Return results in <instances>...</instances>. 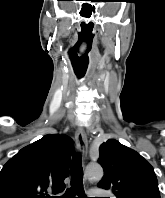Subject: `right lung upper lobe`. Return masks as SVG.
Wrapping results in <instances>:
<instances>
[{"label": "right lung upper lobe", "instance_id": "cb5924a9", "mask_svg": "<svg viewBox=\"0 0 165 198\" xmlns=\"http://www.w3.org/2000/svg\"><path fill=\"white\" fill-rule=\"evenodd\" d=\"M73 141L46 135L21 149L0 172V198H46L44 192L64 190Z\"/></svg>", "mask_w": 165, "mask_h": 198}]
</instances>
